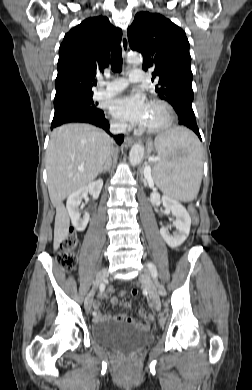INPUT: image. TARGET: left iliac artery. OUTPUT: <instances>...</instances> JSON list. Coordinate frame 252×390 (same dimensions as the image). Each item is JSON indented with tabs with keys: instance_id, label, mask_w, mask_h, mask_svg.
I'll list each match as a JSON object with an SVG mask.
<instances>
[{
	"instance_id": "1",
	"label": "left iliac artery",
	"mask_w": 252,
	"mask_h": 390,
	"mask_svg": "<svg viewBox=\"0 0 252 390\" xmlns=\"http://www.w3.org/2000/svg\"><path fill=\"white\" fill-rule=\"evenodd\" d=\"M147 266H148V268H149V270H150V272L152 274V277L156 278L157 277V270H156V267L154 266V264L153 263H148Z\"/></svg>"
}]
</instances>
